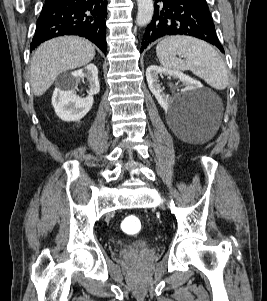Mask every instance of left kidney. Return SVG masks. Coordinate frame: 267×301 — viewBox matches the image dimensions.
<instances>
[{"mask_svg":"<svg viewBox=\"0 0 267 301\" xmlns=\"http://www.w3.org/2000/svg\"><path fill=\"white\" fill-rule=\"evenodd\" d=\"M159 75L172 76L173 78L179 79L185 86L183 89H181V93L190 92L200 87L198 81L192 79L191 77L185 75L180 71L171 70L156 65L149 66L146 70L148 87L164 110L171 109L174 103V97H169L165 95V93H163L158 80Z\"/></svg>","mask_w":267,"mask_h":301,"instance_id":"1","label":"left kidney"}]
</instances>
